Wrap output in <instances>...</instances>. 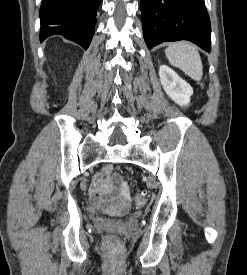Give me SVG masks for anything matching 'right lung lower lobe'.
Listing matches in <instances>:
<instances>
[{"mask_svg": "<svg viewBox=\"0 0 247 275\" xmlns=\"http://www.w3.org/2000/svg\"><path fill=\"white\" fill-rule=\"evenodd\" d=\"M101 0H42L40 41L62 35L87 49L92 40Z\"/></svg>", "mask_w": 247, "mask_h": 275, "instance_id": "1", "label": "right lung lower lobe"}]
</instances>
